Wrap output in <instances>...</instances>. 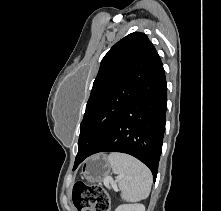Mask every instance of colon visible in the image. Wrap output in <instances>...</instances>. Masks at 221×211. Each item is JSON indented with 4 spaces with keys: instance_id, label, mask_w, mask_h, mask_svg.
I'll list each match as a JSON object with an SVG mask.
<instances>
[{
    "instance_id": "obj_1",
    "label": "colon",
    "mask_w": 221,
    "mask_h": 211,
    "mask_svg": "<svg viewBox=\"0 0 221 211\" xmlns=\"http://www.w3.org/2000/svg\"><path fill=\"white\" fill-rule=\"evenodd\" d=\"M72 201L78 211H110L109 196L100 185L76 182L72 188Z\"/></svg>"
}]
</instances>
